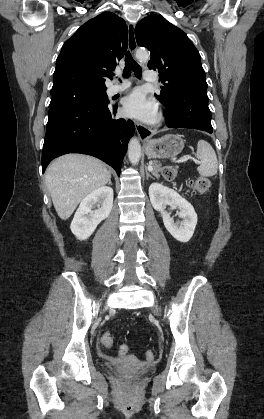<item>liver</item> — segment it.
I'll list each match as a JSON object with an SVG mask.
<instances>
[{
    "mask_svg": "<svg viewBox=\"0 0 264 419\" xmlns=\"http://www.w3.org/2000/svg\"><path fill=\"white\" fill-rule=\"evenodd\" d=\"M111 179L105 164L91 156L66 154L48 166L45 181L58 216L68 219L78 204Z\"/></svg>",
    "mask_w": 264,
    "mask_h": 419,
    "instance_id": "obj_1",
    "label": "liver"
}]
</instances>
